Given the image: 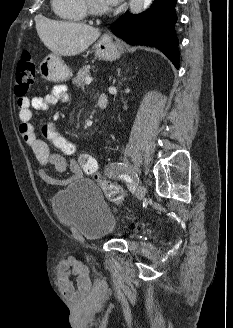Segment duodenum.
<instances>
[{"mask_svg":"<svg viewBox=\"0 0 233 328\" xmlns=\"http://www.w3.org/2000/svg\"><path fill=\"white\" fill-rule=\"evenodd\" d=\"M97 105L100 109H105L108 105V97L105 94H100L97 100Z\"/></svg>","mask_w":233,"mask_h":328,"instance_id":"duodenum-1","label":"duodenum"}]
</instances>
